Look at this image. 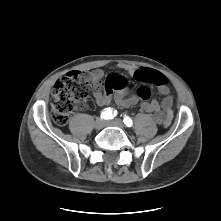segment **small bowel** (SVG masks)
Wrapping results in <instances>:
<instances>
[{
    "mask_svg": "<svg viewBox=\"0 0 221 221\" xmlns=\"http://www.w3.org/2000/svg\"><path fill=\"white\" fill-rule=\"evenodd\" d=\"M119 68L125 70L133 76L135 75L136 71L139 70L127 64H120ZM103 78L104 71L102 69H95L85 76V79L90 83L93 88L94 99L99 106L107 105L112 99V92L107 91L108 87L116 90L114 100L118 105L122 107H130L138 103L139 98L137 96L127 94V82L123 76L113 74L108 77L105 85L102 82ZM103 85L105 86L106 92L102 91ZM158 91L164 97L161 105L156 100H151L142 101L141 107L146 112L152 114L156 123L167 126L169 125L173 117V97L169 94V89L167 86L159 87Z\"/></svg>",
    "mask_w": 221,
    "mask_h": 221,
    "instance_id": "1",
    "label": "small bowel"
}]
</instances>
